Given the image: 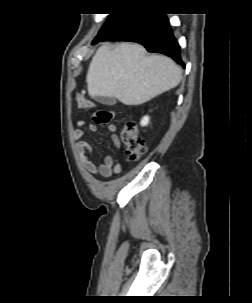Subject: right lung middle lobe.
<instances>
[{"mask_svg":"<svg viewBox=\"0 0 252 303\" xmlns=\"http://www.w3.org/2000/svg\"><path fill=\"white\" fill-rule=\"evenodd\" d=\"M122 16V14H114L111 19H109L101 28L99 31L97 37L95 39H98L102 37L105 33H107L118 21V19Z\"/></svg>","mask_w":252,"mask_h":303,"instance_id":"right-lung-middle-lobe-1","label":"right lung middle lobe"}]
</instances>
